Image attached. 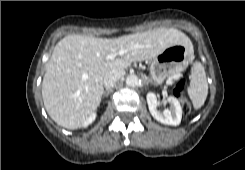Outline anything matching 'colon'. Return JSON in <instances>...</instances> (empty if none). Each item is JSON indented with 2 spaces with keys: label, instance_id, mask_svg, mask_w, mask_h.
I'll return each instance as SVG.
<instances>
[{
  "label": "colon",
  "instance_id": "colon-1",
  "mask_svg": "<svg viewBox=\"0 0 245 170\" xmlns=\"http://www.w3.org/2000/svg\"><path fill=\"white\" fill-rule=\"evenodd\" d=\"M185 92H186V80L182 78L174 84L173 93L177 97L183 99L182 110L185 115H188L191 112V105L189 101L185 99Z\"/></svg>",
  "mask_w": 245,
  "mask_h": 170
}]
</instances>
